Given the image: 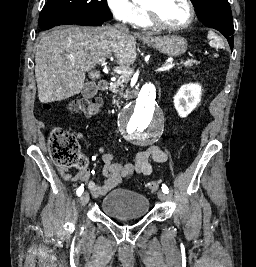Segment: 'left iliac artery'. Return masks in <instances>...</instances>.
I'll use <instances>...</instances> for the list:
<instances>
[{
    "label": "left iliac artery",
    "instance_id": "44dca946",
    "mask_svg": "<svg viewBox=\"0 0 256 267\" xmlns=\"http://www.w3.org/2000/svg\"><path fill=\"white\" fill-rule=\"evenodd\" d=\"M162 191L167 194L169 192L168 187L165 184H162Z\"/></svg>",
    "mask_w": 256,
    "mask_h": 267
}]
</instances>
